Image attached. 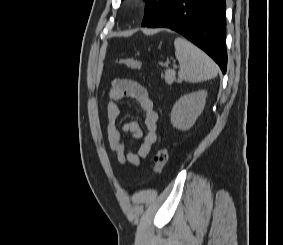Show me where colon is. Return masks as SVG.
<instances>
[{
    "label": "colon",
    "instance_id": "obj_1",
    "mask_svg": "<svg viewBox=\"0 0 283 245\" xmlns=\"http://www.w3.org/2000/svg\"><path fill=\"white\" fill-rule=\"evenodd\" d=\"M119 63L125 64L131 70L138 71L141 69V62L134 57H120L117 59ZM169 154L165 147L157 150L154 156V172L160 174L168 162Z\"/></svg>",
    "mask_w": 283,
    "mask_h": 245
}]
</instances>
